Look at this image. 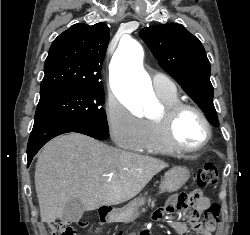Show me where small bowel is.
I'll list each match as a JSON object with an SVG mask.
<instances>
[{
	"label": "small bowel",
	"mask_w": 250,
	"mask_h": 235,
	"mask_svg": "<svg viewBox=\"0 0 250 235\" xmlns=\"http://www.w3.org/2000/svg\"><path fill=\"white\" fill-rule=\"evenodd\" d=\"M197 201L191 204L185 202L178 197H172L161 208L157 209L153 213V219L155 221L162 220L165 216L180 211L184 213L188 219L187 222H173V227L180 235H191L190 231H193L196 235H213L216 225L201 224L198 221V216L204 211L210 200L207 196L199 193Z\"/></svg>",
	"instance_id": "obj_1"
}]
</instances>
